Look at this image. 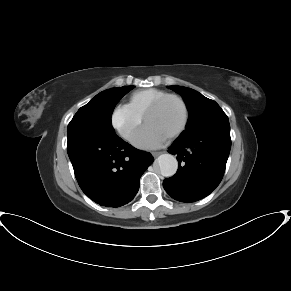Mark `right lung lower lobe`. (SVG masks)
Instances as JSON below:
<instances>
[{
	"instance_id": "98d812e1",
	"label": "right lung lower lobe",
	"mask_w": 291,
	"mask_h": 291,
	"mask_svg": "<svg viewBox=\"0 0 291 291\" xmlns=\"http://www.w3.org/2000/svg\"><path fill=\"white\" fill-rule=\"evenodd\" d=\"M67 152L82 191L101 206L120 207L139 190L142 174L154 161L116 134L74 132L67 135Z\"/></svg>"
}]
</instances>
